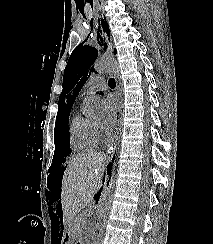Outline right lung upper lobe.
<instances>
[{
  "instance_id": "cb5924a9",
  "label": "right lung upper lobe",
  "mask_w": 213,
  "mask_h": 244,
  "mask_svg": "<svg viewBox=\"0 0 213 244\" xmlns=\"http://www.w3.org/2000/svg\"><path fill=\"white\" fill-rule=\"evenodd\" d=\"M72 105H73V104H72ZM72 105H71V107H72ZM71 107H70V108L68 109V112H70V110H71ZM68 112H67V113H68Z\"/></svg>"
}]
</instances>
